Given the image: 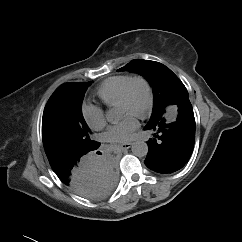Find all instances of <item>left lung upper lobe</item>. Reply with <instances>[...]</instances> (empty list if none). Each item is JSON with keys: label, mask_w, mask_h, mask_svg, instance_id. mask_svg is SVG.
Returning <instances> with one entry per match:
<instances>
[{"label": "left lung upper lobe", "mask_w": 242, "mask_h": 242, "mask_svg": "<svg viewBox=\"0 0 242 242\" xmlns=\"http://www.w3.org/2000/svg\"><path fill=\"white\" fill-rule=\"evenodd\" d=\"M126 70L143 75L152 85L154 102L149 122L162 115L168 105L188 98L184 84L168 67L159 62L136 59L118 69Z\"/></svg>", "instance_id": "obj_1"}]
</instances>
